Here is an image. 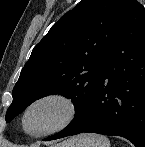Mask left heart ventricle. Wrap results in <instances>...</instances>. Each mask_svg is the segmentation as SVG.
I'll list each match as a JSON object with an SVG mask.
<instances>
[{
    "instance_id": "b2bd125f",
    "label": "left heart ventricle",
    "mask_w": 145,
    "mask_h": 147,
    "mask_svg": "<svg viewBox=\"0 0 145 147\" xmlns=\"http://www.w3.org/2000/svg\"><path fill=\"white\" fill-rule=\"evenodd\" d=\"M62 105L55 102L46 103L33 109L27 119L30 130L39 131L57 125L64 117Z\"/></svg>"
}]
</instances>
